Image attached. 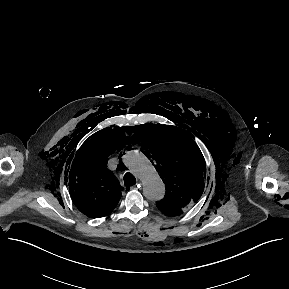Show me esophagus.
<instances>
[{"instance_id":"1","label":"esophagus","mask_w":289,"mask_h":289,"mask_svg":"<svg viewBox=\"0 0 289 289\" xmlns=\"http://www.w3.org/2000/svg\"><path fill=\"white\" fill-rule=\"evenodd\" d=\"M140 185H141V183H138V184L134 185L132 188H133V189L140 188V187H141Z\"/></svg>"}]
</instances>
